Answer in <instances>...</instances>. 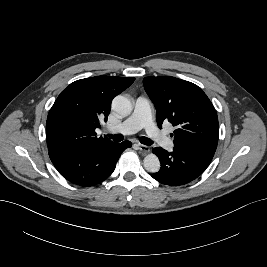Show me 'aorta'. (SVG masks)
Here are the masks:
<instances>
[{"mask_svg": "<svg viewBox=\"0 0 267 267\" xmlns=\"http://www.w3.org/2000/svg\"><path fill=\"white\" fill-rule=\"evenodd\" d=\"M112 109L121 116H128L133 110V105L127 97L118 95L112 101ZM143 165L148 172L152 173H156L160 169L159 158L153 153L145 156Z\"/></svg>", "mask_w": 267, "mask_h": 267, "instance_id": "762f6f07", "label": "aorta"}]
</instances>
